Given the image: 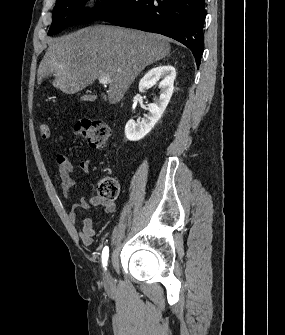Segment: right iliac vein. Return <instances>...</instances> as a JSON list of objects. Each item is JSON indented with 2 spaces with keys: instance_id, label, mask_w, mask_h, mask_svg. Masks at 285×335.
<instances>
[{
  "instance_id": "obj_1",
  "label": "right iliac vein",
  "mask_w": 285,
  "mask_h": 335,
  "mask_svg": "<svg viewBox=\"0 0 285 335\" xmlns=\"http://www.w3.org/2000/svg\"><path fill=\"white\" fill-rule=\"evenodd\" d=\"M104 282L106 286H109L112 283V278L108 272L104 275Z\"/></svg>"
}]
</instances>
